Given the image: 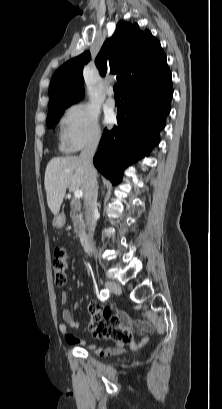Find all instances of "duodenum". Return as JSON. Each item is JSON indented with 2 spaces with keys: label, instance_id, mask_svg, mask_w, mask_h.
Instances as JSON below:
<instances>
[{
  "label": "duodenum",
  "instance_id": "410a0bca",
  "mask_svg": "<svg viewBox=\"0 0 222 409\" xmlns=\"http://www.w3.org/2000/svg\"><path fill=\"white\" fill-rule=\"evenodd\" d=\"M80 242L82 247L87 253H91L92 251V240L85 234L81 233L80 234Z\"/></svg>",
  "mask_w": 222,
  "mask_h": 409
}]
</instances>
